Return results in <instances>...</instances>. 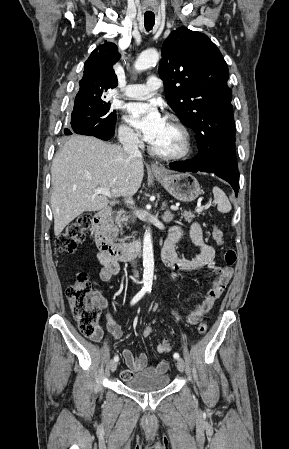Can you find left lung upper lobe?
I'll return each mask as SVG.
<instances>
[{
  "instance_id": "obj_1",
  "label": "left lung upper lobe",
  "mask_w": 289,
  "mask_h": 449,
  "mask_svg": "<svg viewBox=\"0 0 289 449\" xmlns=\"http://www.w3.org/2000/svg\"><path fill=\"white\" fill-rule=\"evenodd\" d=\"M159 75L180 121L196 133L202 159L228 160L235 152L229 71L216 45L203 33L180 27L162 46ZM226 142L230 150L220 152Z\"/></svg>"
}]
</instances>
